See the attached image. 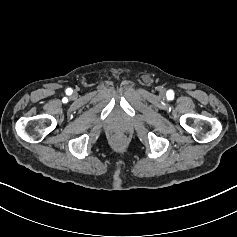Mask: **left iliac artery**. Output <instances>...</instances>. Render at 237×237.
Returning <instances> with one entry per match:
<instances>
[{
    "instance_id": "44dca946",
    "label": "left iliac artery",
    "mask_w": 237,
    "mask_h": 237,
    "mask_svg": "<svg viewBox=\"0 0 237 237\" xmlns=\"http://www.w3.org/2000/svg\"><path fill=\"white\" fill-rule=\"evenodd\" d=\"M169 92H172L171 90L167 92V94H169Z\"/></svg>"
}]
</instances>
